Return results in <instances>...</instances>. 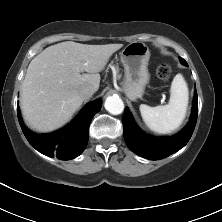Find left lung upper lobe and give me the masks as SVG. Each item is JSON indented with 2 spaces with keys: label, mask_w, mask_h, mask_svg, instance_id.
I'll return each instance as SVG.
<instances>
[{
  "label": "left lung upper lobe",
  "mask_w": 222,
  "mask_h": 222,
  "mask_svg": "<svg viewBox=\"0 0 222 222\" xmlns=\"http://www.w3.org/2000/svg\"><path fill=\"white\" fill-rule=\"evenodd\" d=\"M180 62H181L183 65L187 66V62H186L183 58H181V57H180Z\"/></svg>",
  "instance_id": "obj_1"
}]
</instances>
